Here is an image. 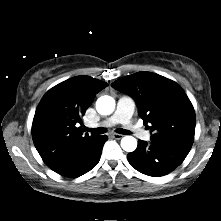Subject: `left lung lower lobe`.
Returning <instances> with one entry per match:
<instances>
[{"label": "left lung lower lobe", "mask_w": 221, "mask_h": 221, "mask_svg": "<svg viewBox=\"0 0 221 221\" xmlns=\"http://www.w3.org/2000/svg\"><path fill=\"white\" fill-rule=\"evenodd\" d=\"M190 149L171 143L138 140L137 149L127 155L129 163L148 176H164L178 167Z\"/></svg>", "instance_id": "0a47b994"}]
</instances>
